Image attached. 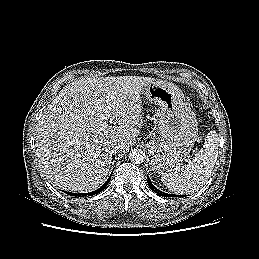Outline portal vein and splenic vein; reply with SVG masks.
Listing matches in <instances>:
<instances>
[{
	"label": "portal vein and splenic vein",
	"instance_id": "portal-vein-and-splenic-vein-1",
	"mask_svg": "<svg viewBox=\"0 0 259 259\" xmlns=\"http://www.w3.org/2000/svg\"><path fill=\"white\" fill-rule=\"evenodd\" d=\"M106 126L108 125L106 122L104 123Z\"/></svg>",
	"mask_w": 259,
	"mask_h": 259
}]
</instances>
